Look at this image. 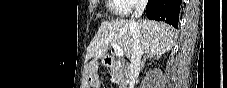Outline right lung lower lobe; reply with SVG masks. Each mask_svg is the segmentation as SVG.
I'll return each instance as SVG.
<instances>
[{"mask_svg": "<svg viewBox=\"0 0 227 88\" xmlns=\"http://www.w3.org/2000/svg\"><path fill=\"white\" fill-rule=\"evenodd\" d=\"M182 0H149L146 14L150 20L164 21L178 28Z\"/></svg>", "mask_w": 227, "mask_h": 88, "instance_id": "obj_1", "label": "right lung lower lobe"}]
</instances>
